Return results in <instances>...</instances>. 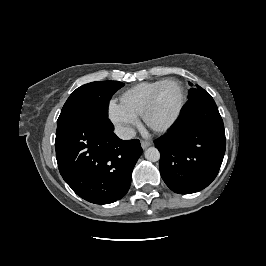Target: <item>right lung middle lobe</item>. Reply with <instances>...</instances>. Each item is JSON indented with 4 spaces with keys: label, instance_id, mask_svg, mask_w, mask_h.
<instances>
[{
    "label": "right lung middle lobe",
    "instance_id": "right-lung-middle-lobe-1",
    "mask_svg": "<svg viewBox=\"0 0 266 266\" xmlns=\"http://www.w3.org/2000/svg\"><path fill=\"white\" fill-rule=\"evenodd\" d=\"M124 84L118 81L91 82L77 88L67 99L57 120L56 135L88 113L107 116L112 95Z\"/></svg>",
    "mask_w": 266,
    "mask_h": 266
}]
</instances>
